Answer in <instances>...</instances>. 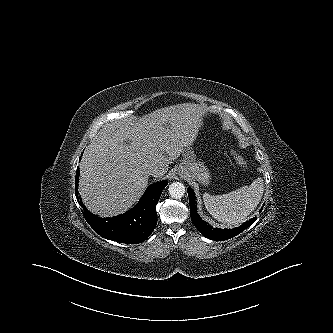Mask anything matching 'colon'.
<instances>
[{"mask_svg": "<svg viewBox=\"0 0 333 333\" xmlns=\"http://www.w3.org/2000/svg\"><path fill=\"white\" fill-rule=\"evenodd\" d=\"M231 155H232L234 162L240 169L246 170L248 168L247 160L240 153H238L235 149H231Z\"/></svg>", "mask_w": 333, "mask_h": 333, "instance_id": "obj_1", "label": "colon"}]
</instances>
